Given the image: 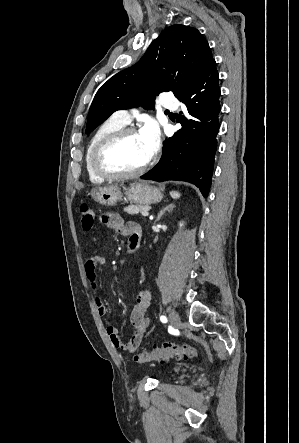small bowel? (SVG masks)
<instances>
[{
  "label": "small bowel",
  "mask_w": 299,
  "mask_h": 443,
  "mask_svg": "<svg viewBox=\"0 0 299 443\" xmlns=\"http://www.w3.org/2000/svg\"><path fill=\"white\" fill-rule=\"evenodd\" d=\"M100 222L108 228L114 229L122 235L129 236V243L134 240H141V227L136 222L125 223L117 213H104L100 216ZM128 243V244H129ZM107 260L101 256H92L85 264V271L91 286L96 289L97 266L106 265ZM150 293L143 289L137 293L136 302L130 314V321L134 326V332L127 341L123 340L118 329L113 326L106 328V333L112 345L126 353H134L140 346L146 331L150 325L149 319ZM97 312L100 316L107 314V307L101 298H96Z\"/></svg>",
  "instance_id": "1"
}]
</instances>
